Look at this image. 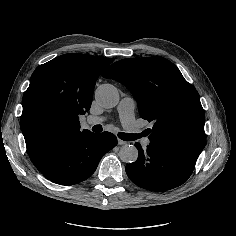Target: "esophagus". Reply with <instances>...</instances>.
<instances>
[{"instance_id":"1","label":"esophagus","mask_w":236,"mask_h":236,"mask_svg":"<svg viewBox=\"0 0 236 236\" xmlns=\"http://www.w3.org/2000/svg\"><path fill=\"white\" fill-rule=\"evenodd\" d=\"M117 142H118L119 145H124V144H126V142L123 141V140H121V139H118Z\"/></svg>"}]
</instances>
